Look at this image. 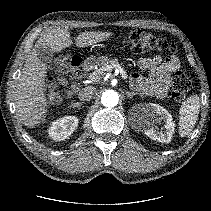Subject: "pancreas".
<instances>
[{
  "instance_id": "obj_1",
  "label": "pancreas",
  "mask_w": 211,
  "mask_h": 211,
  "mask_svg": "<svg viewBox=\"0 0 211 211\" xmlns=\"http://www.w3.org/2000/svg\"><path fill=\"white\" fill-rule=\"evenodd\" d=\"M117 67H121L118 59L114 58L111 60H107L106 62L102 63V67L97 70V73L100 77H102L105 75V72Z\"/></svg>"
}]
</instances>
